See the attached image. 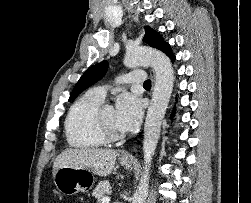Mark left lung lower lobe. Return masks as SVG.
Masks as SVG:
<instances>
[{"label": "left lung lower lobe", "instance_id": "0a47b994", "mask_svg": "<svg viewBox=\"0 0 251 203\" xmlns=\"http://www.w3.org/2000/svg\"><path fill=\"white\" fill-rule=\"evenodd\" d=\"M163 52L166 55L169 56V58L171 59V61H174L176 59L175 56H174V54L172 53V51L170 49V45L169 44L164 48Z\"/></svg>", "mask_w": 251, "mask_h": 203}]
</instances>
